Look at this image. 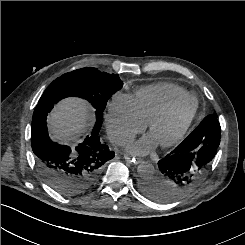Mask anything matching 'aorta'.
Masks as SVG:
<instances>
[{
    "instance_id": "762f6f07",
    "label": "aorta",
    "mask_w": 245,
    "mask_h": 245,
    "mask_svg": "<svg viewBox=\"0 0 245 245\" xmlns=\"http://www.w3.org/2000/svg\"><path fill=\"white\" fill-rule=\"evenodd\" d=\"M137 171L142 179L149 180L155 174L154 166L149 162H142L138 165Z\"/></svg>"
}]
</instances>
